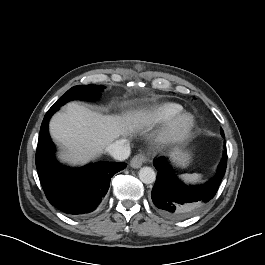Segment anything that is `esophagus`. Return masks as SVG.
Here are the masks:
<instances>
[{
	"instance_id": "obj_1",
	"label": "esophagus",
	"mask_w": 265,
	"mask_h": 265,
	"mask_svg": "<svg viewBox=\"0 0 265 265\" xmlns=\"http://www.w3.org/2000/svg\"><path fill=\"white\" fill-rule=\"evenodd\" d=\"M145 161H146V157L144 154H137L131 159L130 166L132 168L137 169V168H140Z\"/></svg>"
}]
</instances>
